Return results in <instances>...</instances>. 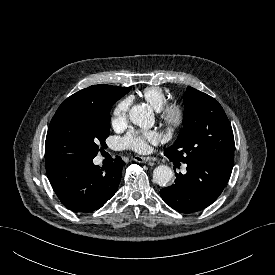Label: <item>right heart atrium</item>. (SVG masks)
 <instances>
[{
	"label": "right heart atrium",
	"mask_w": 275,
	"mask_h": 275,
	"mask_svg": "<svg viewBox=\"0 0 275 275\" xmlns=\"http://www.w3.org/2000/svg\"><path fill=\"white\" fill-rule=\"evenodd\" d=\"M130 107V99L121 100L114 108L111 119L114 128H121L125 126L128 119V110Z\"/></svg>",
	"instance_id": "d8ad5b80"
}]
</instances>
